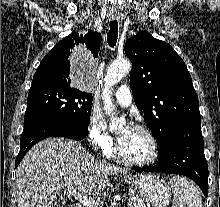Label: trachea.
<instances>
[{"label": "trachea", "instance_id": "1", "mask_svg": "<svg viewBox=\"0 0 220 207\" xmlns=\"http://www.w3.org/2000/svg\"><path fill=\"white\" fill-rule=\"evenodd\" d=\"M118 38V22L113 20L110 22V30L107 34V40L110 47H114Z\"/></svg>", "mask_w": 220, "mask_h": 207}]
</instances>
